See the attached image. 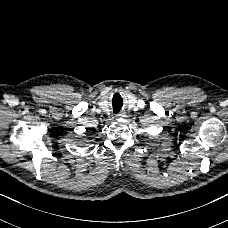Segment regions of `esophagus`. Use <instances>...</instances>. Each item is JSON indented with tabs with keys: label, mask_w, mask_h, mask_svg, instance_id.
I'll return each mask as SVG.
<instances>
[{
	"label": "esophagus",
	"mask_w": 228,
	"mask_h": 228,
	"mask_svg": "<svg viewBox=\"0 0 228 228\" xmlns=\"http://www.w3.org/2000/svg\"><path fill=\"white\" fill-rule=\"evenodd\" d=\"M116 117H117V118H123L124 115H123V114H119V115H117Z\"/></svg>",
	"instance_id": "esophagus-1"
}]
</instances>
